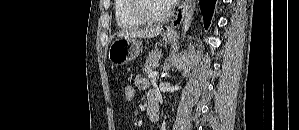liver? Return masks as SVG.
<instances>
[{"mask_svg":"<svg viewBox=\"0 0 299 130\" xmlns=\"http://www.w3.org/2000/svg\"><path fill=\"white\" fill-rule=\"evenodd\" d=\"M162 31V28L160 26L157 27H151L147 29H133L129 31H125L122 33H119L118 36L121 38H154L158 36Z\"/></svg>","mask_w":299,"mask_h":130,"instance_id":"obj_1","label":"liver"}]
</instances>
